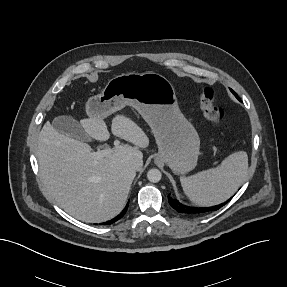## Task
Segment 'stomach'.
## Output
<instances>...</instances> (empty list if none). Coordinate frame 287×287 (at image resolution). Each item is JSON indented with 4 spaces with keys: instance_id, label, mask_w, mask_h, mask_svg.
Returning a JSON list of instances; mask_svg holds the SVG:
<instances>
[{
    "instance_id": "obj_1",
    "label": "stomach",
    "mask_w": 287,
    "mask_h": 287,
    "mask_svg": "<svg viewBox=\"0 0 287 287\" xmlns=\"http://www.w3.org/2000/svg\"><path fill=\"white\" fill-rule=\"evenodd\" d=\"M126 105L135 108L151 127L159 150L156 163L167 164L177 175L196 167L200 138L181 113L167 78L154 72L118 75L88 100L86 111L89 117L103 118Z\"/></svg>"
}]
</instances>
